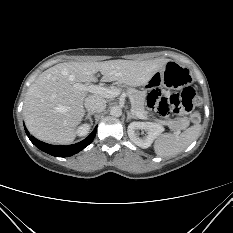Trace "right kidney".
<instances>
[{"mask_svg": "<svg viewBox=\"0 0 233 233\" xmlns=\"http://www.w3.org/2000/svg\"><path fill=\"white\" fill-rule=\"evenodd\" d=\"M90 126L89 124H83L82 126H80L78 129H77V135L78 136H85L88 131L90 130Z\"/></svg>", "mask_w": 233, "mask_h": 233, "instance_id": "ca27d5eb", "label": "right kidney"}]
</instances>
